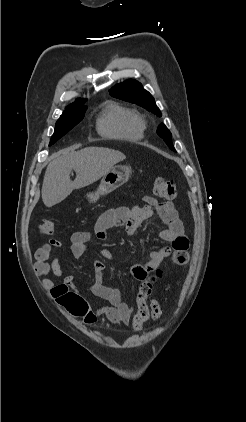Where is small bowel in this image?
Segmentation results:
<instances>
[{"mask_svg":"<svg viewBox=\"0 0 246 422\" xmlns=\"http://www.w3.org/2000/svg\"><path fill=\"white\" fill-rule=\"evenodd\" d=\"M155 214L166 226L159 232V236L171 246H162L151 251L147 262L131 267L132 275L138 280L155 271L172 252L176 250L187 252L188 250L189 240L173 203L170 201L160 203L152 196H145L143 205L108 209L98 218L94 227V233L99 240H106L108 232L118 227H123L128 235H134L141 223L154 217ZM90 238L91 234L86 231L74 232L71 235L70 249L75 257H80L87 252ZM60 246V241L51 239L35 252V271L43 277V285L50 291L56 302L72 315L80 317L87 325L94 324L100 315H105L110 322L115 324H129L133 308L122 300L118 289L106 284L103 273L105 265L102 261L94 262L93 293L106 300L108 305L92 308L76 290L75 278L71 274L64 276L62 282H56L55 278L61 277L63 270L60 257L51 258V250ZM101 254L107 260H114V256L108 249H102Z\"/></svg>","mask_w":246,"mask_h":422,"instance_id":"1","label":"small bowel"}]
</instances>
